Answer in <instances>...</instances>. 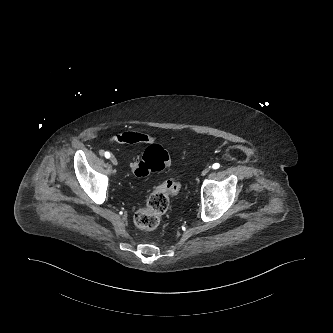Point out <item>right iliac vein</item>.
Listing matches in <instances>:
<instances>
[{
	"instance_id": "1",
	"label": "right iliac vein",
	"mask_w": 333,
	"mask_h": 333,
	"mask_svg": "<svg viewBox=\"0 0 333 333\" xmlns=\"http://www.w3.org/2000/svg\"><path fill=\"white\" fill-rule=\"evenodd\" d=\"M110 160H111V163H112L114 166H117L118 161H117V159H116L115 156H111Z\"/></svg>"
}]
</instances>
